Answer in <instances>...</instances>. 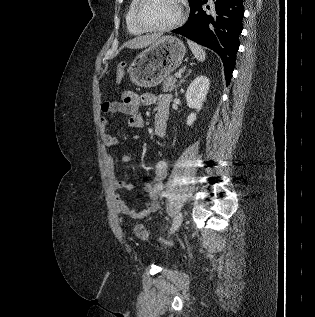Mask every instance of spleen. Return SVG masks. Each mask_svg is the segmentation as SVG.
Wrapping results in <instances>:
<instances>
[{"label":"spleen","mask_w":315,"mask_h":317,"mask_svg":"<svg viewBox=\"0 0 315 317\" xmlns=\"http://www.w3.org/2000/svg\"><path fill=\"white\" fill-rule=\"evenodd\" d=\"M187 43L193 53V55L195 56V58L198 60V61H204L205 58H206V53L204 51V49L198 45L197 43L193 42V41H190V40H187Z\"/></svg>","instance_id":"3e777b00"}]
</instances>
